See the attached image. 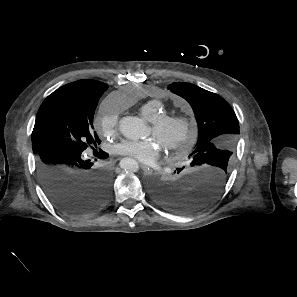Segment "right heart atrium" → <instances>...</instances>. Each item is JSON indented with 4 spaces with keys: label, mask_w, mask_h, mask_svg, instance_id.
I'll list each match as a JSON object with an SVG mask.
<instances>
[{
    "label": "right heart atrium",
    "mask_w": 297,
    "mask_h": 297,
    "mask_svg": "<svg viewBox=\"0 0 297 297\" xmlns=\"http://www.w3.org/2000/svg\"><path fill=\"white\" fill-rule=\"evenodd\" d=\"M121 109L122 107L113 96H108L102 101L96 123L105 137H113L116 134Z\"/></svg>",
    "instance_id": "obj_1"
}]
</instances>
